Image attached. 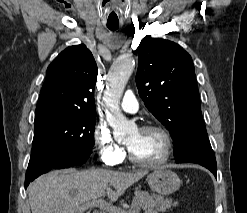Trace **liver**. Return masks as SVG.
<instances>
[{"label": "liver", "mask_w": 247, "mask_h": 213, "mask_svg": "<svg viewBox=\"0 0 247 213\" xmlns=\"http://www.w3.org/2000/svg\"><path fill=\"white\" fill-rule=\"evenodd\" d=\"M146 174V171L105 169L49 172L30 184L29 204L32 213H83L86 202L106 195L111 201H116ZM72 190L73 194L70 193Z\"/></svg>", "instance_id": "obj_1"}]
</instances>
